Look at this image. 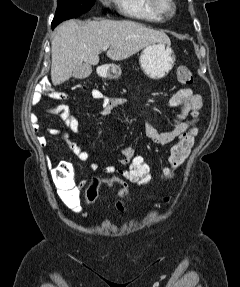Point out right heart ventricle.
<instances>
[{"instance_id": "e07e8e85", "label": "right heart ventricle", "mask_w": 240, "mask_h": 287, "mask_svg": "<svg viewBox=\"0 0 240 287\" xmlns=\"http://www.w3.org/2000/svg\"><path fill=\"white\" fill-rule=\"evenodd\" d=\"M118 11L125 17L160 22L162 17L152 9L150 0H113Z\"/></svg>"}]
</instances>
